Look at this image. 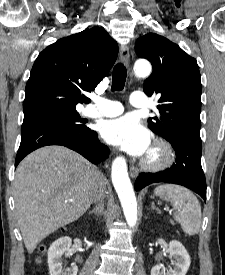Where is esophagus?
Segmentation results:
<instances>
[{
  "mask_svg": "<svg viewBox=\"0 0 225 275\" xmlns=\"http://www.w3.org/2000/svg\"><path fill=\"white\" fill-rule=\"evenodd\" d=\"M120 58L122 62L129 68L130 54H129V49L126 45L120 46ZM130 175L132 178H135L138 176V170L134 166L130 167Z\"/></svg>",
  "mask_w": 225,
  "mask_h": 275,
  "instance_id": "1",
  "label": "esophagus"
}]
</instances>
